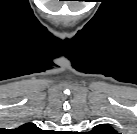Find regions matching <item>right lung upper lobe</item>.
<instances>
[{"instance_id": "obj_1", "label": "right lung upper lobe", "mask_w": 137, "mask_h": 134, "mask_svg": "<svg viewBox=\"0 0 137 134\" xmlns=\"http://www.w3.org/2000/svg\"><path fill=\"white\" fill-rule=\"evenodd\" d=\"M21 133L24 134H34V133H41V129H39L35 124L33 123H26L19 127L18 129Z\"/></svg>"}]
</instances>
